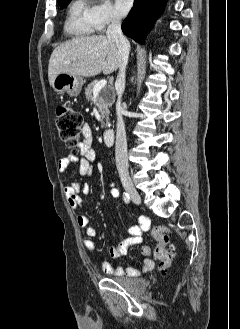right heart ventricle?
Wrapping results in <instances>:
<instances>
[{
  "label": "right heart ventricle",
  "instance_id": "right-heart-ventricle-1",
  "mask_svg": "<svg viewBox=\"0 0 240 329\" xmlns=\"http://www.w3.org/2000/svg\"><path fill=\"white\" fill-rule=\"evenodd\" d=\"M90 14L91 6L87 0H73L67 10L65 32L72 37L90 36L95 30Z\"/></svg>",
  "mask_w": 240,
  "mask_h": 329
}]
</instances>
